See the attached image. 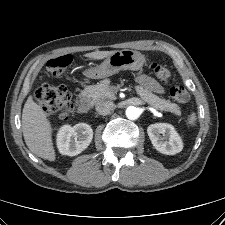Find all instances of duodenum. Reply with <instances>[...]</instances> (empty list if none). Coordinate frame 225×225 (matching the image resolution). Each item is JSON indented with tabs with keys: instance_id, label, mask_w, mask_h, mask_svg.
<instances>
[{
	"instance_id": "1",
	"label": "duodenum",
	"mask_w": 225,
	"mask_h": 225,
	"mask_svg": "<svg viewBox=\"0 0 225 225\" xmlns=\"http://www.w3.org/2000/svg\"><path fill=\"white\" fill-rule=\"evenodd\" d=\"M92 98L88 95H83L79 98L77 102V108L80 113H85L89 111L92 107Z\"/></svg>"
}]
</instances>
